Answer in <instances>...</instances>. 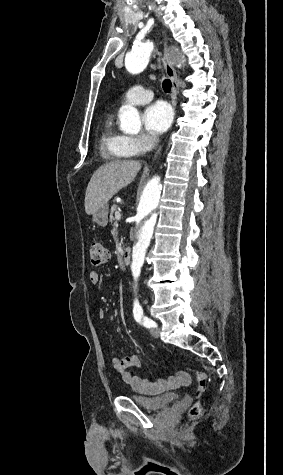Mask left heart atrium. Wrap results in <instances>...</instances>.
<instances>
[{"mask_svg": "<svg viewBox=\"0 0 283 475\" xmlns=\"http://www.w3.org/2000/svg\"><path fill=\"white\" fill-rule=\"evenodd\" d=\"M174 119L171 105L165 101H156L149 105L143 115L145 129L153 135L168 131Z\"/></svg>", "mask_w": 283, "mask_h": 475, "instance_id": "obj_1", "label": "left heart atrium"}]
</instances>
